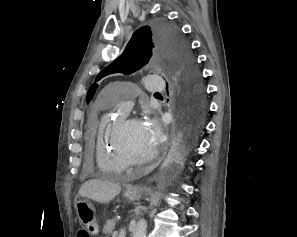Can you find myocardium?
Wrapping results in <instances>:
<instances>
[{
  "label": "myocardium",
  "mask_w": 297,
  "mask_h": 237,
  "mask_svg": "<svg viewBox=\"0 0 297 237\" xmlns=\"http://www.w3.org/2000/svg\"><path fill=\"white\" fill-rule=\"evenodd\" d=\"M134 122H138V119L136 117H122L120 121L116 124L112 135V145L114 147V150L120 156V158L123 160L127 167L150 164L158 156V151L156 149L144 158H137L128 151L127 147L123 142L122 136L124 130Z\"/></svg>",
  "instance_id": "1"
}]
</instances>
